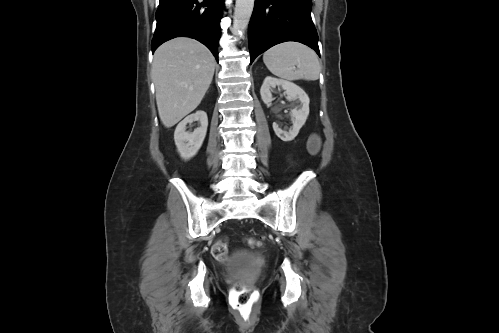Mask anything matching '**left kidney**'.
<instances>
[{
  "instance_id": "5707ae66",
  "label": "left kidney",
  "mask_w": 499,
  "mask_h": 333,
  "mask_svg": "<svg viewBox=\"0 0 499 333\" xmlns=\"http://www.w3.org/2000/svg\"><path fill=\"white\" fill-rule=\"evenodd\" d=\"M276 86L281 87L284 90V94L292 100L298 99L300 102V105H295L291 110V121L293 125L289 131L282 130L277 123H273L274 132L282 141H292L306 122L309 115L310 100L305 91L298 85L286 80L268 76L265 78L260 89L261 98L265 104H270L273 101L271 91Z\"/></svg>"
}]
</instances>
